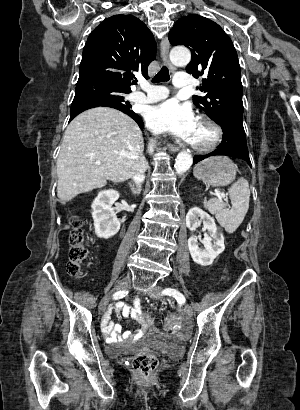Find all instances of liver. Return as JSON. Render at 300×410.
<instances>
[{
	"label": "liver",
	"mask_w": 300,
	"mask_h": 410,
	"mask_svg": "<svg viewBox=\"0 0 300 410\" xmlns=\"http://www.w3.org/2000/svg\"><path fill=\"white\" fill-rule=\"evenodd\" d=\"M144 140L136 122L124 113L97 107L79 114L67 127L57 159V196L69 202L75 196L124 182L148 163ZM100 162V164H97Z\"/></svg>",
	"instance_id": "1"
}]
</instances>
